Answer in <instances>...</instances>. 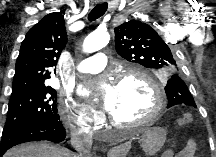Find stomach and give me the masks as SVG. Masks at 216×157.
I'll return each mask as SVG.
<instances>
[{
  "instance_id": "1",
  "label": "stomach",
  "mask_w": 216,
  "mask_h": 157,
  "mask_svg": "<svg viewBox=\"0 0 216 157\" xmlns=\"http://www.w3.org/2000/svg\"><path fill=\"white\" fill-rule=\"evenodd\" d=\"M165 140L166 131L164 128L158 126L147 128L141 135V147L145 155L151 157L162 148Z\"/></svg>"
}]
</instances>
